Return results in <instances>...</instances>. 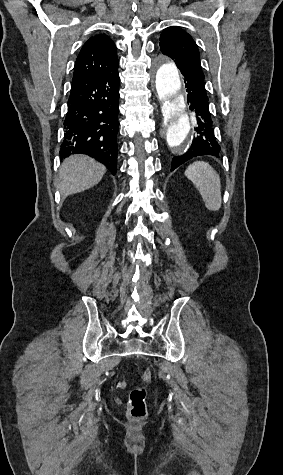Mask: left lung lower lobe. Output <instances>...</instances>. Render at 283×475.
<instances>
[{
  "instance_id": "left-lung-lower-lobe-1",
  "label": "left lung lower lobe",
  "mask_w": 283,
  "mask_h": 475,
  "mask_svg": "<svg viewBox=\"0 0 283 475\" xmlns=\"http://www.w3.org/2000/svg\"><path fill=\"white\" fill-rule=\"evenodd\" d=\"M188 92L189 109L193 113L196 134L188 151L172 159L171 171L184 162L202 155L219 157L221 147L214 135V123L209 112L208 96L202 69L179 67Z\"/></svg>"
}]
</instances>
